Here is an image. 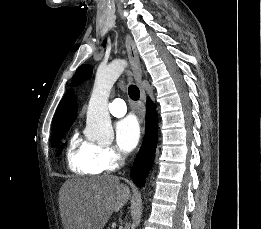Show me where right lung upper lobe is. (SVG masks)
Returning a JSON list of instances; mask_svg holds the SVG:
<instances>
[{
	"mask_svg": "<svg viewBox=\"0 0 261 229\" xmlns=\"http://www.w3.org/2000/svg\"><path fill=\"white\" fill-rule=\"evenodd\" d=\"M76 114V98L74 96V93L71 90H69L57 108V111L53 118L52 126L69 123L72 124L76 118Z\"/></svg>",
	"mask_w": 261,
	"mask_h": 229,
	"instance_id": "cb5924a9",
	"label": "right lung upper lobe"
}]
</instances>
